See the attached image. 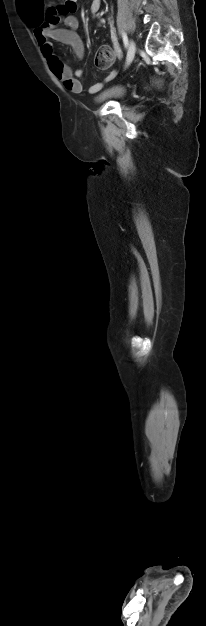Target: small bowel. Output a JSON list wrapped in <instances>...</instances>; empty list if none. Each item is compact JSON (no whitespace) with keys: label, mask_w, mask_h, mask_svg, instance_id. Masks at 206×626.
<instances>
[{"label":"small bowel","mask_w":206,"mask_h":626,"mask_svg":"<svg viewBox=\"0 0 206 626\" xmlns=\"http://www.w3.org/2000/svg\"><path fill=\"white\" fill-rule=\"evenodd\" d=\"M101 5V0H93L90 11L96 16ZM77 10V0H65L60 5H50L43 9L42 4H37L34 11L26 18V23L33 28L35 39L40 47L41 53L45 57L48 65L55 77L63 83L65 88L72 93L80 94L83 86L80 77L82 70L73 71L54 52L53 43L50 40L60 42L72 48L78 59L84 56V44L78 33V20L73 15ZM114 51L120 57L118 42L112 41ZM115 73H111L103 81L97 82L88 87L87 92L94 94L98 92L105 82L111 80Z\"/></svg>","instance_id":"c3829d8e"}]
</instances>
